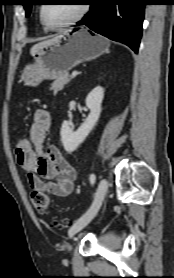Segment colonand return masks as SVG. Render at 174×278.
<instances>
[{
	"instance_id": "1",
	"label": "colon",
	"mask_w": 174,
	"mask_h": 278,
	"mask_svg": "<svg viewBox=\"0 0 174 278\" xmlns=\"http://www.w3.org/2000/svg\"><path fill=\"white\" fill-rule=\"evenodd\" d=\"M31 147V142L29 138H19L16 143V149L19 152H24ZM31 202L36 209L41 214L47 212L49 206V197L46 193L40 191H32L30 195ZM65 223L54 222V225L59 226Z\"/></svg>"
}]
</instances>
